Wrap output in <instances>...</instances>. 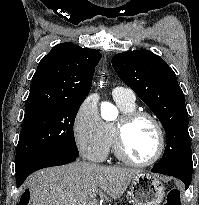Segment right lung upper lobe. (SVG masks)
<instances>
[{"label":"right lung upper lobe","mask_w":199,"mask_h":205,"mask_svg":"<svg viewBox=\"0 0 199 205\" xmlns=\"http://www.w3.org/2000/svg\"><path fill=\"white\" fill-rule=\"evenodd\" d=\"M100 59L101 53L95 49L70 42L54 46L32 78L25 112L55 103L83 102Z\"/></svg>","instance_id":"1"}]
</instances>
